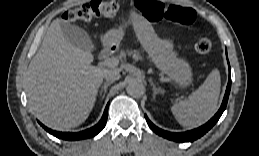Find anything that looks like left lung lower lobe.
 <instances>
[{
  "instance_id": "obj_1",
  "label": "left lung lower lobe",
  "mask_w": 259,
  "mask_h": 156,
  "mask_svg": "<svg viewBox=\"0 0 259 156\" xmlns=\"http://www.w3.org/2000/svg\"><path fill=\"white\" fill-rule=\"evenodd\" d=\"M228 64H229V62H228ZM230 89H231V76H230V65H229V80H228V85L226 88V92H225V96H224L222 105H221L220 109L218 110V112L214 115V117H212L206 124H204L203 126H201L199 128H196V129H193L190 131H186V132L174 133V132H169V131H165V130L158 128L145 115L146 121H147L149 127L156 134H158L166 139H169L172 141H177V142H192V141L202 137L219 120L220 116L222 115V113L224 112V110L226 108L228 97L230 94Z\"/></svg>"
}]
</instances>
